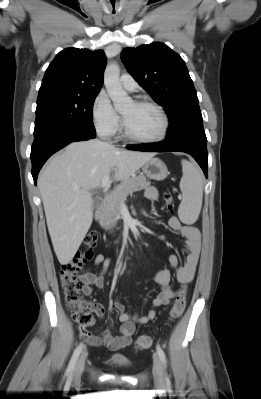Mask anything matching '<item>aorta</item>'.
<instances>
[{
    "mask_svg": "<svg viewBox=\"0 0 261 399\" xmlns=\"http://www.w3.org/2000/svg\"><path fill=\"white\" fill-rule=\"evenodd\" d=\"M120 68L116 63L109 64L104 72V84L114 107L120 110L131 103V98L124 91L120 82Z\"/></svg>",
    "mask_w": 261,
    "mask_h": 399,
    "instance_id": "1",
    "label": "aorta"
}]
</instances>
